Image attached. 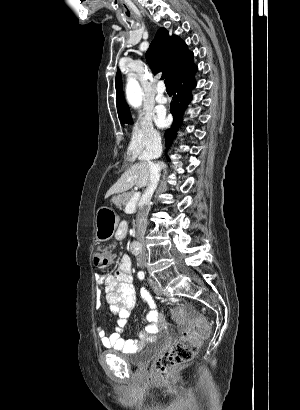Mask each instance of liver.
I'll list each match as a JSON object with an SVG mask.
<instances>
[{"instance_id": "1", "label": "liver", "mask_w": 300, "mask_h": 410, "mask_svg": "<svg viewBox=\"0 0 300 410\" xmlns=\"http://www.w3.org/2000/svg\"><path fill=\"white\" fill-rule=\"evenodd\" d=\"M162 167L165 164L161 163ZM150 182V170L146 162L136 163L126 170L119 180L108 190L105 198L115 193L125 192L133 186L146 187Z\"/></svg>"}]
</instances>
